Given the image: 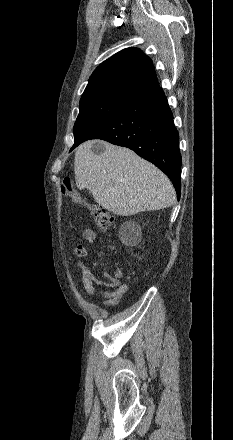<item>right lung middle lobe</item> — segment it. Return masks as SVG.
Segmentation results:
<instances>
[{"label":"right lung middle lobe","instance_id":"dd1d6c3e","mask_svg":"<svg viewBox=\"0 0 233 440\" xmlns=\"http://www.w3.org/2000/svg\"><path fill=\"white\" fill-rule=\"evenodd\" d=\"M125 104V102L113 100L80 102V112L74 125V145L102 126Z\"/></svg>","mask_w":233,"mask_h":440}]
</instances>
